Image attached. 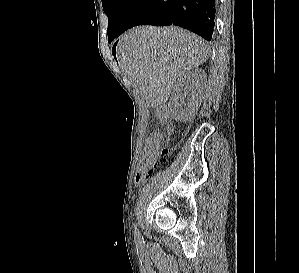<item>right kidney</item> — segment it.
I'll return each mask as SVG.
<instances>
[{
  "label": "right kidney",
  "instance_id": "obj_1",
  "mask_svg": "<svg viewBox=\"0 0 299 273\" xmlns=\"http://www.w3.org/2000/svg\"><path fill=\"white\" fill-rule=\"evenodd\" d=\"M206 74L202 69H192L179 77L172 88L169 108L175 119L187 121L197 112L206 83Z\"/></svg>",
  "mask_w": 299,
  "mask_h": 273
}]
</instances>
